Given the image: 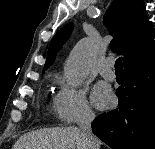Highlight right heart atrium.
Segmentation results:
<instances>
[{"instance_id": "d8ad5b80", "label": "right heart atrium", "mask_w": 155, "mask_h": 149, "mask_svg": "<svg viewBox=\"0 0 155 149\" xmlns=\"http://www.w3.org/2000/svg\"><path fill=\"white\" fill-rule=\"evenodd\" d=\"M54 109L58 119L66 125L88 123L95 117L84 89L63 82L54 98Z\"/></svg>"}]
</instances>
